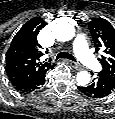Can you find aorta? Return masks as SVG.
<instances>
[{"label": "aorta", "instance_id": "762f6f07", "mask_svg": "<svg viewBox=\"0 0 115 119\" xmlns=\"http://www.w3.org/2000/svg\"><path fill=\"white\" fill-rule=\"evenodd\" d=\"M53 33L56 39L59 41H69L75 36L74 27L66 22H60L55 25ZM76 80L78 85L85 86L90 82V74L87 71H81L77 73Z\"/></svg>", "mask_w": 115, "mask_h": 119}]
</instances>
